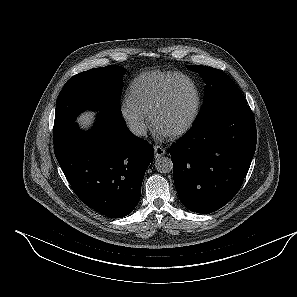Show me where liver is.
<instances>
[{
	"label": "liver",
	"instance_id": "liver-1",
	"mask_svg": "<svg viewBox=\"0 0 297 297\" xmlns=\"http://www.w3.org/2000/svg\"><path fill=\"white\" fill-rule=\"evenodd\" d=\"M95 113L93 112H86L84 114H82L77 122L84 128L89 127L92 124V121L94 119Z\"/></svg>",
	"mask_w": 297,
	"mask_h": 297
}]
</instances>
